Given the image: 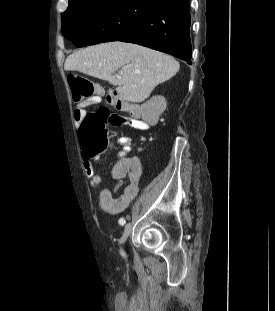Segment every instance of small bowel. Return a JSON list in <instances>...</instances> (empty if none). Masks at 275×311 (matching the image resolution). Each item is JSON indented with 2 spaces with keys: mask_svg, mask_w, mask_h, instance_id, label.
<instances>
[{
  "mask_svg": "<svg viewBox=\"0 0 275 311\" xmlns=\"http://www.w3.org/2000/svg\"><path fill=\"white\" fill-rule=\"evenodd\" d=\"M92 105L95 104L81 103L77 105L74 110V119L77 125L81 124L86 115L85 109ZM120 107L129 110L132 114L131 117H124L123 125H128L139 130H148L151 128L153 122L137 118L132 106L123 103ZM117 142L122 148L118 154V158H123V160L116 161L114 169H110L109 171L110 176H114V180H141V171L144 170V165L139 164L135 155H127L131 149V138L128 136H120ZM98 158L99 156L92 157L86 150L82 151L83 168L89 180V184L92 187H98L103 180L102 176L95 171L94 163ZM115 193V187L102 188L100 192L102 200L99 206H97V213H104L105 216H118L119 212H122L129 202L135 198L138 193V186L135 182L129 184L125 193L120 198H113V194Z\"/></svg>",
  "mask_w": 275,
  "mask_h": 311,
  "instance_id": "c3829d8e",
  "label": "small bowel"
}]
</instances>
